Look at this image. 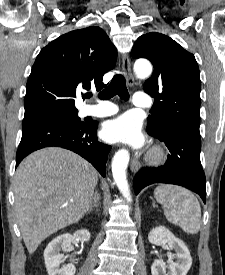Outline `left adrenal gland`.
<instances>
[{
  "instance_id": "a2214340",
  "label": "left adrenal gland",
  "mask_w": 225,
  "mask_h": 275,
  "mask_svg": "<svg viewBox=\"0 0 225 275\" xmlns=\"http://www.w3.org/2000/svg\"><path fill=\"white\" fill-rule=\"evenodd\" d=\"M152 205H153V207H157V205L155 204V201L153 200V202H152Z\"/></svg>"
}]
</instances>
